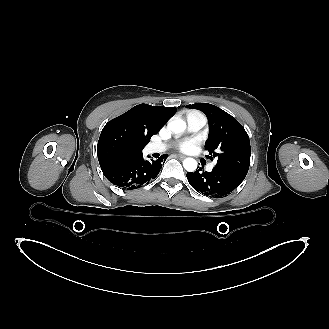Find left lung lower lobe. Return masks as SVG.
I'll return each instance as SVG.
<instances>
[{
  "label": "left lung lower lobe",
  "mask_w": 329,
  "mask_h": 329,
  "mask_svg": "<svg viewBox=\"0 0 329 329\" xmlns=\"http://www.w3.org/2000/svg\"><path fill=\"white\" fill-rule=\"evenodd\" d=\"M187 179L190 185L199 193L212 198H221L229 195L244 180L228 171L213 168L211 172H188Z\"/></svg>",
  "instance_id": "left-lung-lower-lobe-1"
}]
</instances>
